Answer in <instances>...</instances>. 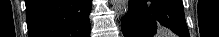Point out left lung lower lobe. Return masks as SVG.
Instances as JSON below:
<instances>
[{
  "label": "left lung lower lobe",
  "mask_w": 219,
  "mask_h": 37,
  "mask_svg": "<svg viewBox=\"0 0 219 37\" xmlns=\"http://www.w3.org/2000/svg\"><path fill=\"white\" fill-rule=\"evenodd\" d=\"M122 18L124 37H152L163 25L180 37H189L182 0H130Z\"/></svg>",
  "instance_id": "0a47b994"
}]
</instances>
